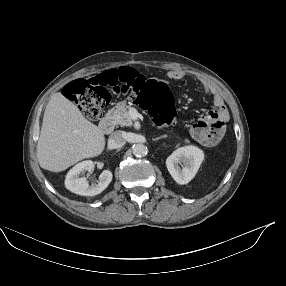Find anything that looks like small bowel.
Masks as SVG:
<instances>
[{"mask_svg":"<svg viewBox=\"0 0 286 286\" xmlns=\"http://www.w3.org/2000/svg\"><path fill=\"white\" fill-rule=\"evenodd\" d=\"M187 76H188V73L181 69H172L167 73V77L170 80H175V81L184 79ZM202 88L205 94L210 95L212 97V101L215 106V109L211 111L217 113L221 121L223 122L227 121L229 118L228 111L225 107L224 100L222 96L220 95V93L217 91V89L208 82H203ZM192 130H193V127H192Z\"/></svg>","mask_w":286,"mask_h":286,"instance_id":"c3829d8e","label":"small bowel"}]
</instances>
